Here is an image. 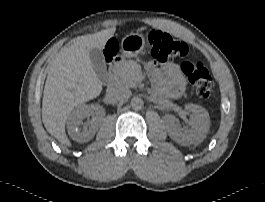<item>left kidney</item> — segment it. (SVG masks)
I'll return each instance as SVG.
<instances>
[{"label":"left kidney","instance_id":"1","mask_svg":"<svg viewBox=\"0 0 265 202\" xmlns=\"http://www.w3.org/2000/svg\"><path fill=\"white\" fill-rule=\"evenodd\" d=\"M185 110L190 113L192 128L183 129L177 123L174 115L167 114L163 117L168 135L178 144L183 146L198 145L201 143L210 128V118L207 110L199 105L186 104Z\"/></svg>","mask_w":265,"mask_h":202}]
</instances>
